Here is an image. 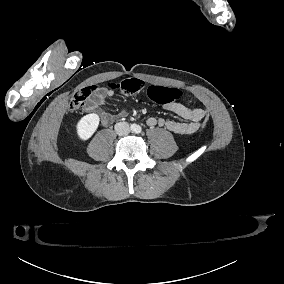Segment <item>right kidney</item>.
Returning <instances> with one entry per match:
<instances>
[{
    "label": "right kidney",
    "instance_id": "1",
    "mask_svg": "<svg viewBox=\"0 0 284 284\" xmlns=\"http://www.w3.org/2000/svg\"><path fill=\"white\" fill-rule=\"evenodd\" d=\"M99 125V116L97 114H88L81 118L77 124V134L82 140L89 139L96 131Z\"/></svg>",
    "mask_w": 284,
    "mask_h": 284
}]
</instances>
